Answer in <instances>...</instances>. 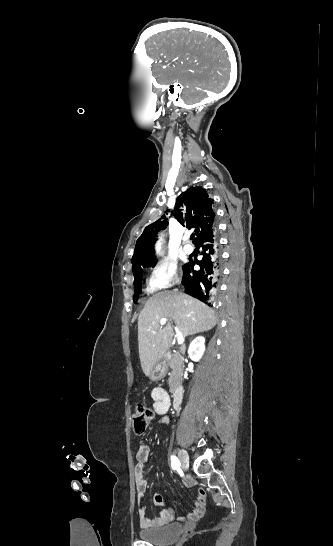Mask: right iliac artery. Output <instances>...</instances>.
<instances>
[{
	"instance_id": "obj_1",
	"label": "right iliac artery",
	"mask_w": 333,
	"mask_h": 546,
	"mask_svg": "<svg viewBox=\"0 0 333 546\" xmlns=\"http://www.w3.org/2000/svg\"><path fill=\"white\" fill-rule=\"evenodd\" d=\"M171 467H172V469H174V470L180 468V461H179V459H178L176 456H174V455L171 456Z\"/></svg>"
}]
</instances>
